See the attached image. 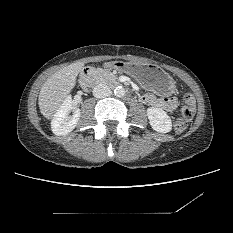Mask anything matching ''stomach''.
<instances>
[{
    "instance_id": "stomach-1",
    "label": "stomach",
    "mask_w": 233,
    "mask_h": 233,
    "mask_svg": "<svg viewBox=\"0 0 233 233\" xmlns=\"http://www.w3.org/2000/svg\"><path fill=\"white\" fill-rule=\"evenodd\" d=\"M112 67L137 80L144 88L160 96H170L175 92L173 78L158 65L151 63L114 61Z\"/></svg>"
}]
</instances>
